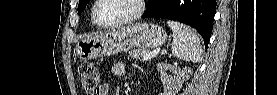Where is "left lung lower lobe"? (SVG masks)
<instances>
[{
  "label": "left lung lower lobe",
  "mask_w": 277,
  "mask_h": 95,
  "mask_svg": "<svg viewBox=\"0 0 277 95\" xmlns=\"http://www.w3.org/2000/svg\"><path fill=\"white\" fill-rule=\"evenodd\" d=\"M216 4V0H152L142 17H164L186 23L201 34L207 47Z\"/></svg>",
  "instance_id": "left-lung-lower-lobe-1"
}]
</instances>
